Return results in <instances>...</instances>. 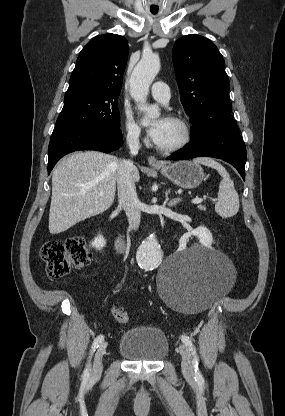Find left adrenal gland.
I'll use <instances>...</instances> for the list:
<instances>
[{
	"label": "left adrenal gland",
	"instance_id": "obj_1",
	"mask_svg": "<svg viewBox=\"0 0 285 416\" xmlns=\"http://www.w3.org/2000/svg\"><path fill=\"white\" fill-rule=\"evenodd\" d=\"M169 194H170V190H167V192H165V202H167L170 208H172V206H176V204H179V202H182L181 198H173V200H170L169 202V198H168Z\"/></svg>",
	"mask_w": 285,
	"mask_h": 416
}]
</instances>
